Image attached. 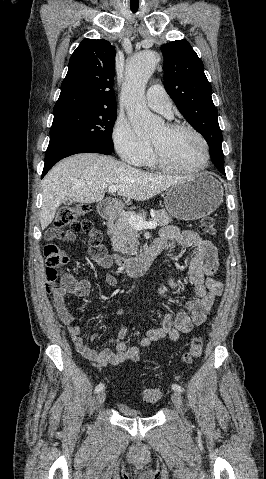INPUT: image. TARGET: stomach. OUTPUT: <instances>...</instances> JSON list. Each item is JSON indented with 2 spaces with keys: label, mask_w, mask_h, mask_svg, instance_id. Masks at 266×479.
<instances>
[{
  "label": "stomach",
  "mask_w": 266,
  "mask_h": 479,
  "mask_svg": "<svg viewBox=\"0 0 266 479\" xmlns=\"http://www.w3.org/2000/svg\"><path fill=\"white\" fill-rule=\"evenodd\" d=\"M223 201V187L210 173L172 185L164 198L166 211L178 220H196L214 212Z\"/></svg>",
  "instance_id": "stomach-1"
}]
</instances>
